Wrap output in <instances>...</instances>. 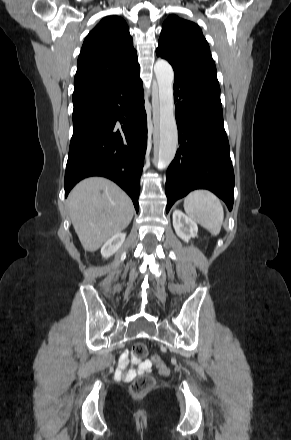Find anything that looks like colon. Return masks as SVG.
Instances as JSON below:
<instances>
[{"instance_id": "5ec220e1", "label": "colon", "mask_w": 291, "mask_h": 440, "mask_svg": "<svg viewBox=\"0 0 291 440\" xmlns=\"http://www.w3.org/2000/svg\"><path fill=\"white\" fill-rule=\"evenodd\" d=\"M132 351L136 359H145L148 356V349L142 342H136L133 345ZM152 360L160 374L168 373V366L159 357L154 356ZM153 386L154 381L151 377L140 376L132 382L130 386V393L134 397L141 398L150 392Z\"/></svg>"}]
</instances>
